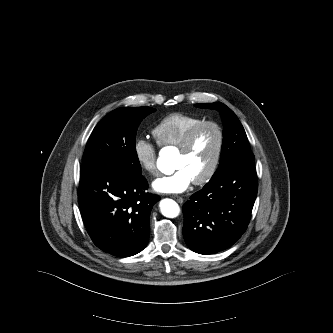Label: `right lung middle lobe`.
<instances>
[{
	"label": "right lung middle lobe",
	"instance_id": "obj_1",
	"mask_svg": "<svg viewBox=\"0 0 333 333\" xmlns=\"http://www.w3.org/2000/svg\"><path fill=\"white\" fill-rule=\"evenodd\" d=\"M150 107H123L107 114L94 128L84 151L83 167L116 166L141 174L135 138Z\"/></svg>",
	"mask_w": 333,
	"mask_h": 333
}]
</instances>
